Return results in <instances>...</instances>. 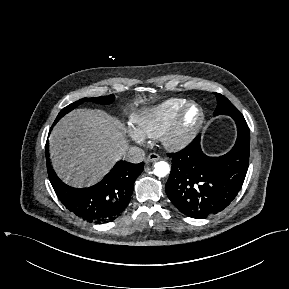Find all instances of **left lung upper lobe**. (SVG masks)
<instances>
[{"label":"left lung upper lobe","mask_w":289,"mask_h":289,"mask_svg":"<svg viewBox=\"0 0 289 289\" xmlns=\"http://www.w3.org/2000/svg\"><path fill=\"white\" fill-rule=\"evenodd\" d=\"M217 98V107L214 115L225 114L231 116L233 119L244 118L239 110L223 95L214 93Z\"/></svg>","instance_id":"1"}]
</instances>
